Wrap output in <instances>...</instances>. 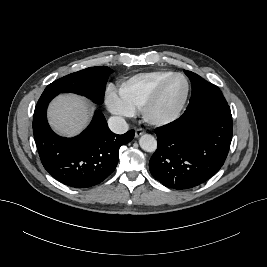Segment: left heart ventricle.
Instances as JSON below:
<instances>
[{"label": "left heart ventricle", "mask_w": 267, "mask_h": 267, "mask_svg": "<svg viewBox=\"0 0 267 267\" xmlns=\"http://www.w3.org/2000/svg\"><path fill=\"white\" fill-rule=\"evenodd\" d=\"M186 90L185 81L176 77L172 79L165 87L159 102L155 107V114H167L174 110L181 102Z\"/></svg>", "instance_id": "1"}]
</instances>
